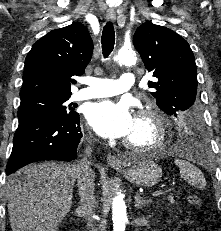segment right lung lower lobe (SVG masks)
Returning <instances> with one entry per match:
<instances>
[{
    "mask_svg": "<svg viewBox=\"0 0 221 231\" xmlns=\"http://www.w3.org/2000/svg\"><path fill=\"white\" fill-rule=\"evenodd\" d=\"M81 137L79 114L72 117L51 112L27 115L19 119L6 174L36 161L76 159Z\"/></svg>",
    "mask_w": 221,
    "mask_h": 231,
    "instance_id": "1",
    "label": "right lung lower lobe"
}]
</instances>
